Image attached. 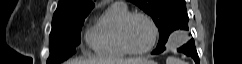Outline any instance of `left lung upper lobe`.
Wrapping results in <instances>:
<instances>
[{
  "label": "left lung upper lobe",
  "instance_id": "obj_1",
  "mask_svg": "<svg viewBox=\"0 0 242 64\" xmlns=\"http://www.w3.org/2000/svg\"><path fill=\"white\" fill-rule=\"evenodd\" d=\"M154 20L159 29L157 47L165 46L170 33L176 29L188 30L185 0H130Z\"/></svg>",
  "mask_w": 242,
  "mask_h": 64
}]
</instances>
